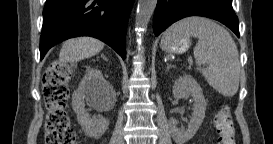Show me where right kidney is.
Segmentation results:
<instances>
[{
	"mask_svg": "<svg viewBox=\"0 0 273 144\" xmlns=\"http://www.w3.org/2000/svg\"><path fill=\"white\" fill-rule=\"evenodd\" d=\"M109 92H113V87L104 79L102 72L90 69L72 96V107L78 122L84 133L91 138L99 139L105 133L108 124L103 117H90L85 110L84 99L88 97L95 104Z\"/></svg>",
	"mask_w": 273,
	"mask_h": 144,
	"instance_id": "1",
	"label": "right kidney"
}]
</instances>
